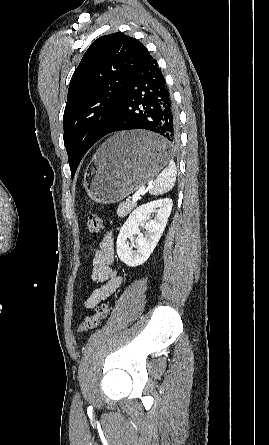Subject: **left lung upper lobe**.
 <instances>
[{
    "mask_svg": "<svg viewBox=\"0 0 269 445\" xmlns=\"http://www.w3.org/2000/svg\"><path fill=\"white\" fill-rule=\"evenodd\" d=\"M133 37H99L85 52L69 84L63 115L64 145L72 177L85 153L115 120L127 83L145 53Z\"/></svg>",
    "mask_w": 269,
    "mask_h": 445,
    "instance_id": "left-lung-upper-lobe-1",
    "label": "left lung upper lobe"
}]
</instances>
